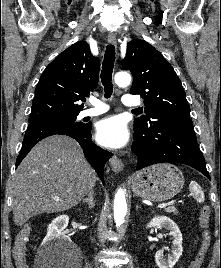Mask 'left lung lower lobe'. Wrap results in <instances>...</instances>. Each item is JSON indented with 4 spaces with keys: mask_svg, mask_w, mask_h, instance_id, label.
<instances>
[{
    "mask_svg": "<svg viewBox=\"0 0 221 268\" xmlns=\"http://www.w3.org/2000/svg\"><path fill=\"white\" fill-rule=\"evenodd\" d=\"M132 151L138 158L137 170L174 162L189 165L210 179L189 115L151 114L146 125L134 127Z\"/></svg>",
    "mask_w": 221,
    "mask_h": 268,
    "instance_id": "1",
    "label": "left lung lower lobe"
}]
</instances>
